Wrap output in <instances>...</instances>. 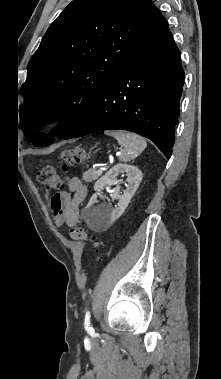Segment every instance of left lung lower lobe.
<instances>
[{
    "mask_svg": "<svg viewBox=\"0 0 221 379\" xmlns=\"http://www.w3.org/2000/svg\"><path fill=\"white\" fill-rule=\"evenodd\" d=\"M183 83L180 51L162 16L64 139L100 130H128L152 140L169 159Z\"/></svg>",
    "mask_w": 221,
    "mask_h": 379,
    "instance_id": "obj_1",
    "label": "left lung lower lobe"
}]
</instances>
